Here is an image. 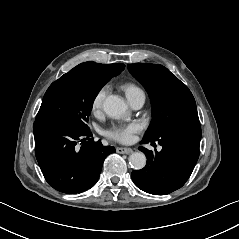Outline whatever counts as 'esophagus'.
<instances>
[{
	"instance_id": "1",
	"label": "esophagus",
	"mask_w": 239,
	"mask_h": 239,
	"mask_svg": "<svg viewBox=\"0 0 239 239\" xmlns=\"http://www.w3.org/2000/svg\"><path fill=\"white\" fill-rule=\"evenodd\" d=\"M116 151L119 154H129L132 152V149L130 147H118Z\"/></svg>"
}]
</instances>
